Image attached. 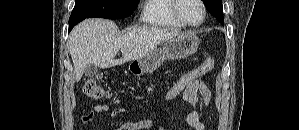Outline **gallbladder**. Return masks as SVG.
Segmentation results:
<instances>
[{
  "label": "gallbladder",
  "instance_id": "bac80fb5",
  "mask_svg": "<svg viewBox=\"0 0 299 130\" xmlns=\"http://www.w3.org/2000/svg\"><path fill=\"white\" fill-rule=\"evenodd\" d=\"M97 70H98V67L96 65L90 63L85 67L84 75L88 78H91L97 73Z\"/></svg>",
  "mask_w": 299,
  "mask_h": 130
}]
</instances>
